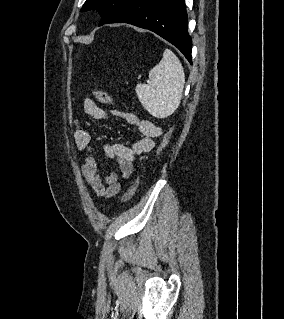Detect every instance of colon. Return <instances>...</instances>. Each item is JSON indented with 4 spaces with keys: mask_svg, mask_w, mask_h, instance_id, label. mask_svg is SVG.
I'll use <instances>...</instances> for the list:
<instances>
[{
    "mask_svg": "<svg viewBox=\"0 0 284 319\" xmlns=\"http://www.w3.org/2000/svg\"><path fill=\"white\" fill-rule=\"evenodd\" d=\"M92 94L95 97V99L97 101H99L100 103L108 104V105L113 104V99L111 98V96L105 90L95 89V90H93ZM170 132H171V130L169 129L164 134L163 139H162V141H161V143L159 145L158 150H161L162 148H164L168 144L169 138H170ZM137 183H138L137 179H135L132 182V184L129 186V188L126 190V192L123 194V196L121 198V202L122 203H125V202H127L128 200L131 199V197L135 193V190H136V187H137Z\"/></svg>",
    "mask_w": 284,
    "mask_h": 319,
    "instance_id": "obj_1",
    "label": "colon"
}]
</instances>
